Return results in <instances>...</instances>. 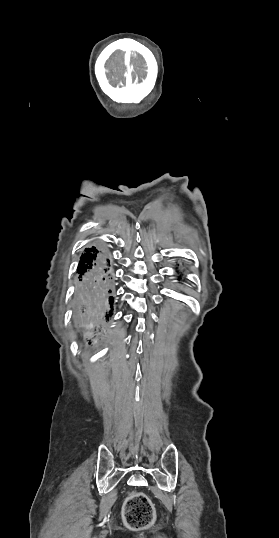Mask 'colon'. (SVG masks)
I'll list each match as a JSON object with an SVG mask.
<instances>
[{
    "instance_id": "5ec220e1",
    "label": "colon",
    "mask_w": 279,
    "mask_h": 538,
    "mask_svg": "<svg viewBox=\"0 0 279 538\" xmlns=\"http://www.w3.org/2000/svg\"><path fill=\"white\" fill-rule=\"evenodd\" d=\"M154 514L152 502L141 492L132 493L124 503L123 519L130 529L139 530L149 526Z\"/></svg>"
}]
</instances>
